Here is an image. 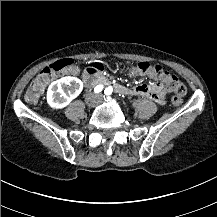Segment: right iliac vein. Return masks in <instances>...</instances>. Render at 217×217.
Wrapping results in <instances>:
<instances>
[{
  "label": "right iliac vein",
  "instance_id": "63e3f726",
  "mask_svg": "<svg viewBox=\"0 0 217 217\" xmlns=\"http://www.w3.org/2000/svg\"><path fill=\"white\" fill-rule=\"evenodd\" d=\"M86 105L92 107L94 105L93 94L90 93L89 96L85 99Z\"/></svg>",
  "mask_w": 217,
  "mask_h": 217
}]
</instances>
